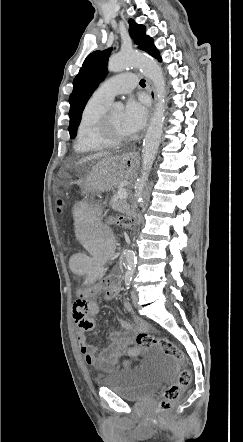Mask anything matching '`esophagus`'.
Instances as JSON below:
<instances>
[{
	"label": "esophagus",
	"instance_id": "34e87169",
	"mask_svg": "<svg viewBox=\"0 0 243 442\" xmlns=\"http://www.w3.org/2000/svg\"><path fill=\"white\" fill-rule=\"evenodd\" d=\"M147 86H148L149 94H150L151 101H152L151 111H150L151 115H152L155 110V105H156V92H155L153 84L150 81H148ZM135 156H136V154L133 155V157H135Z\"/></svg>",
	"mask_w": 243,
	"mask_h": 442
}]
</instances>
